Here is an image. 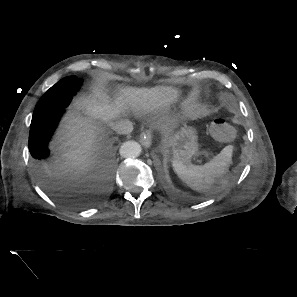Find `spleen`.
Instances as JSON below:
<instances>
[{"instance_id": "3e777b00", "label": "spleen", "mask_w": 297, "mask_h": 297, "mask_svg": "<svg viewBox=\"0 0 297 297\" xmlns=\"http://www.w3.org/2000/svg\"><path fill=\"white\" fill-rule=\"evenodd\" d=\"M233 146L222 149L211 161L202 166L183 164L173 161V168L178 177L191 189L199 192L217 190L225 181L228 164L231 161Z\"/></svg>"}]
</instances>
